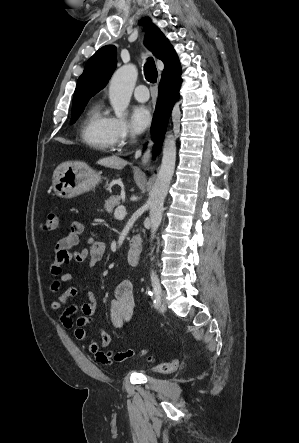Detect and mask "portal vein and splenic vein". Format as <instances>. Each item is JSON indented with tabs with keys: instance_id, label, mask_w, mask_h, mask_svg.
<instances>
[{
	"instance_id": "obj_1",
	"label": "portal vein and splenic vein",
	"mask_w": 299,
	"mask_h": 443,
	"mask_svg": "<svg viewBox=\"0 0 299 443\" xmlns=\"http://www.w3.org/2000/svg\"><path fill=\"white\" fill-rule=\"evenodd\" d=\"M114 216L118 220L124 219L126 216V208L124 206H118L114 212Z\"/></svg>"
}]
</instances>
